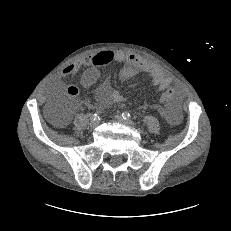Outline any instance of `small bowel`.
I'll return each instance as SVG.
<instances>
[{"label":"small bowel","instance_id":"obj_1","mask_svg":"<svg viewBox=\"0 0 231 231\" xmlns=\"http://www.w3.org/2000/svg\"><path fill=\"white\" fill-rule=\"evenodd\" d=\"M111 62H126L131 64V67H124L120 73V80H127L139 75L140 73H147L152 81V84L158 92H162L166 87H170L173 82V78L166 75L164 71L141 57L134 54H126L122 51H101L86 58L69 64L62 70V77L75 76L81 70L80 83L83 87H90L100 77V68ZM63 83L61 80H56L54 83V89H62ZM67 94L75 98L79 94V90L75 86H68L66 88ZM98 95V107L103 108L110 104L121 103L125 99L122 94L115 90L109 82H104L102 86L97 90ZM86 104V103H83ZM159 112L168 120L172 125H175L180 120V112L178 105L173 102L169 103L165 107H159ZM65 119L60 122L63 124Z\"/></svg>","mask_w":231,"mask_h":231}]
</instances>
